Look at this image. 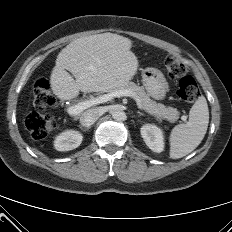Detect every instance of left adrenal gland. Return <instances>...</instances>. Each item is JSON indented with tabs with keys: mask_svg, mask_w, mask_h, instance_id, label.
I'll use <instances>...</instances> for the list:
<instances>
[{
	"mask_svg": "<svg viewBox=\"0 0 232 232\" xmlns=\"http://www.w3.org/2000/svg\"><path fill=\"white\" fill-rule=\"evenodd\" d=\"M137 114H139L140 116H143L144 114L140 111L137 112Z\"/></svg>",
	"mask_w": 232,
	"mask_h": 232,
	"instance_id": "left-adrenal-gland-1",
	"label": "left adrenal gland"
}]
</instances>
